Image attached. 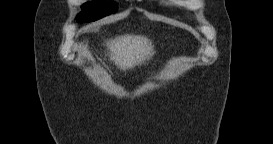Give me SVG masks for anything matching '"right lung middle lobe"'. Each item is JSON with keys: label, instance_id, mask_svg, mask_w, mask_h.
Returning <instances> with one entry per match:
<instances>
[{"label": "right lung middle lobe", "instance_id": "dd1d6c3e", "mask_svg": "<svg viewBox=\"0 0 273 144\" xmlns=\"http://www.w3.org/2000/svg\"><path fill=\"white\" fill-rule=\"evenodd\" d=\"M117 11L114 2H87L82 5V11L78 14L77 20L80 22H90L98 20Z\"/></svg>", "mask_w": 273, "mask_h": 144}]
</instances>
